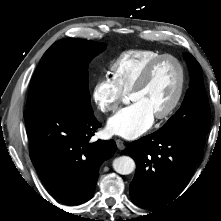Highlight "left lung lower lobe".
<instances>
[{"label": "left lung lower lobe", "instance_id": "left-lung-lower-lobe-1", "mask_svg": "<svg viewBox=\"0 0 221 221\" xmlns=\"http://www.w3.org/2000/svg\"><path fill=\"white\" fill-rule=\"evenodd\" d=\"M206 135L197 131L158 130L128 145L136 162L131 200L142 208L170 203L186 187L200 161Z\"/></svg>", "mask_w": 221, "mask_h": 221}]
</instances>
